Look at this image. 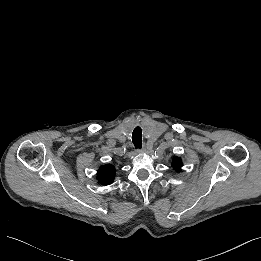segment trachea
<instances>
[{"label": "trachea", "instance_id": "3493384b", "mask_svg": "<svg viewBox=\"0 0 261 261\" xmlns=\"http://www.w3.org/2000/svg\"><path fill=\"white\" fill-rule=\"evenodd\" d=\"M132 141L136 148L141 149V147H142V129L139 125H137L133 130ZM140 149H136V150H140Z\"/></svg>", "mask_w": 261, "mask_h": 261}]
</instances>
